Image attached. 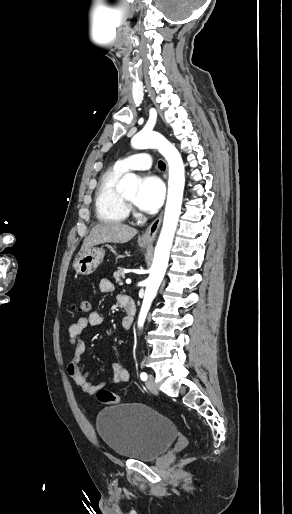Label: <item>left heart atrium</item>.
<instances>
[{
    "mask_svg": "<svg viewBox=\"0 0 292 514\" xmlns=\"http://www.w3.org/2000/svg\"><path fill=\"white\" fill-rule=\"evenodd\" d=\"M165 195L162 180L156 175H147L142 178L135 197V204L141 210L153 213L161 206Z\"/></svg>",
    "mask_w": 292,
    "mask_h": 514,
    "instance_id": "39dd6f15",
    "label": "left heart atrium"
}]
</instances>
